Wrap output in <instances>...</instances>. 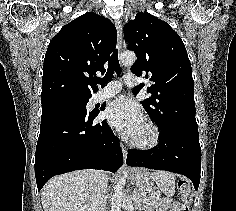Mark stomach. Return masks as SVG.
Here are the masks:
<instances>
[{"mask_svg":"<svg viewBox=\"0 0 236 211\" xmlns=\"http://www.w3.org/2000/svg\"><path fill=\"white\" fill-rule=\"evenodd\" d=\"M130 176L136 187L144 191L148 196L155 191L156 187L147 170L142 168H133Z\"/></svg>","mask_w":236,"mask_h":211,"instance_id":"stomach-1","label":"stomach"}]
</instances>
